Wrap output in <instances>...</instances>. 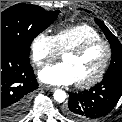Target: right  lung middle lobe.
I'll list each match as a JSON object with an SVG mask.
<instances>
[{
    "mask_svg": "<svg viewBox=\"0 0 122 122\" xmlns=\"http://www.w3.org/2000/svg\"><path fill=\"white\" fill-rule=\"evenodd\" d=\"M59 11H45L30 4H17L1 13V45L29 57L33 39L57 18Z\"/></svg>",
    "mask_w": 122,
    "mask_h": 122,
    "instance_id": "right-lung-middle-lobe-1",
    "label": "right lung middle lobe"
}]
</instances>
